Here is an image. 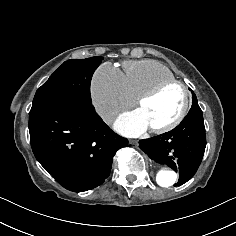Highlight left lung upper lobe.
Listing matches in <instances>:
<instances>
[{
	"label": "left lung upper lobe",
	"instance_id": "left-lung-upper-lobe-1",
	"mask_svg": "<svg viewBox=\"0 0 236 236\" xmlns=\"http://www.w3.org/2000/svg\"><path fill=\"white\" fill-rule=\"evenodd\" d=\"M193 94V101H192V107L188 113V115L190 114H202V111L198 105V102H197V98H196V95L192 92Z\"/></svg>",
	"mask_w": 236,
	"mask_h": 236
}]
</instances>
